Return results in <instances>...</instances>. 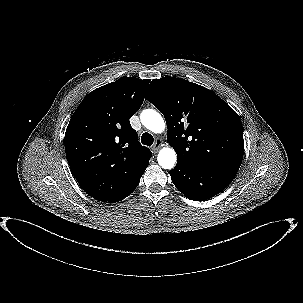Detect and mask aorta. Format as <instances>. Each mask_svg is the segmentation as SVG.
Wrapping results in <instances>:
<instances>
[{
    "mask_svg": "<svg viewBox=\"0 0 303 303\" xmlns=\"http://www.w3.org/2000/svg\"><path fill=\"white\" fill-rule=\"evenodd\" d=\"M142 124L153 133H162L165 130V122L162 116L153 109H145L140 114ZM159 165L163 169H172L177 161V155L173 148H162L157 157Z\"/></svg>",
    "mask_w": 303,
    "mask_h": 303,
    "instance_id": "aorta-1",
    "label": "aorta"
}]
</instances>
